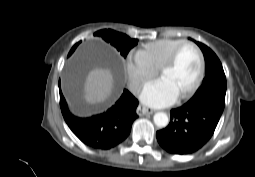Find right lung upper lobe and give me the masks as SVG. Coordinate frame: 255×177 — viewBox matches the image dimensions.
<instances>
[{
	"mask_svg": "<svg viewBox=\"0 0 255 177\" xmlns=\"http://www.w3.org/2000/svg\"><path fill=\"white\" fill-rule=\"evenodd\" d=\"M75 46H76V45H75ZM75 46L71 49V51H70L69 55H71V54H72V52L74 51Z\"/></svg>",
	"mask_w": 255,
	"mask_h": 177,
	"instance_id": "cb5924a9",
	"label": "right lung upper lobe"
}]
</instances>
